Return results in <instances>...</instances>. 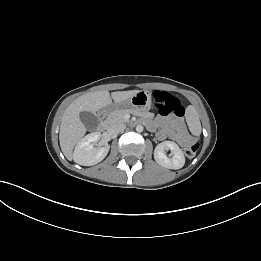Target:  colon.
Here are the masks:
<instances>
[{
    "mask_svg": "<svg viewBox=\"0 0 261 261\" xmlns=\"http://www.w3.org/2000/svg\"><path fill=\"white\" fill-rule=\"evenodd\" d=\"M153 102L155 108L162 115L172 114L176 117L184 115V108L181 106L179 100L167 92L155 91L153 93ZM198 148L199 144H191L184 149V153L187 157H193L197 153Z\"/></svg>",
    "mask_w": 261,
    "mask_h": 261,
    "instance_id": "5ec220e1",
    "label": "colon"
}]
</instances>
